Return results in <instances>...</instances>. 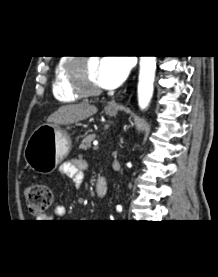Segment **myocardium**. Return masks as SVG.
<instances>
[{
  "label": "myocardium",
  "mask_w": 218,
  "mask_h": 277,
  "mask_svg": "<svg viewBox=\"0 0 218 277\" xmlns=\"http://www.w3.org/2000/svg\"><path fill=\"white\" fill-rule=\"evenodd\" d=\"M88 58L80 57L77 60H71L67 65V76L71 89L82 97L99 95L102 89L97 86L89 85L87 81L86 65Z\"/></svg>",
  "instance_id": "f54148a6"
}]
</instances>
